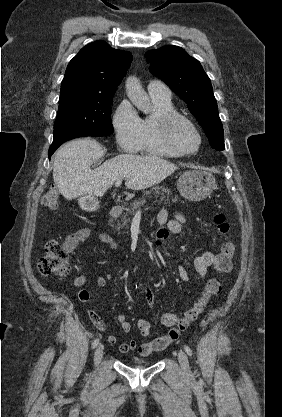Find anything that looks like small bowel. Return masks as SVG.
<instances>
[{
	"instance_id": "1",
	"label": "small bowel",
	"mask_w": 282,
	"mask_h": 417,
	"mask_svg": "<svg viewBox=\"0 0 282 417\" xmlns=\"http://www.w3.org/2000/svg\"><path fill=\"white\" fill-rule=\"evenodd\" d=\"M157 220L160 225L159 230L157 231L156 235V243L161 244L162 241L166 238L168 233L172 234H183L185 232V218L181 213H176L175 216L170 219L169 212L166 208H162L159 210L157 214ZM98 236L99 239L109 245L112 250L118 251L119 247L117 243L106 233L96 231L89 227H84L76 231L75 233L70 234L66 238L65 247L67 249L75 248L79 243L85 241L86 239L92 236ZM216 255L210 251H205L197 256H195L193 260V266L197 274L201 278H205L208 273L209 267L212 266V263L215 261ZM178 276L180 280L183 282H188L190 280V274L186 267L180 266L178 268ZM86 282L85 275H80L76 277L72 283L74 288H80L78 293V298L81 302H88L90 300L91 294L88 289L82 288ZM95 282L99 287H105L107 285V278L103 275H98L95 278ZM146 298L150 304L154 303V293L151 288L146 287L144 289ZM89 317L93 323V325L100 331L106 330V324L104 320L92 309L88 311ZM175 318H181L180 315L171 312H164L160 316V324L165 327H170L171 323H174ZM118 323L122 331L126 334L132 331V324L128 320L127 316L124 313H118L116 316ZM137 327L140 331L141 336L143 337H150L153 334V323L147 319H140L137 322ZM107 340L112 345H119V351L122 354H127L129 352H133L138 349V343L134 339H130L123 342H118V338L115 335H108ZM146 344V343H145Z\"/></svg>"
}]
</instances>
